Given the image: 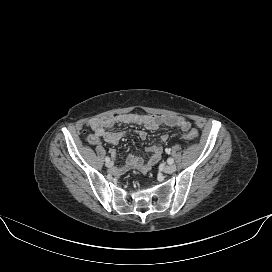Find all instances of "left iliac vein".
<instances>
[{
	"label": "left iliac vein",
	"mask_w": 272,
	"mask_h": 272,
	"mask_svg": "<svg viewBox=\"0 0 272 272\" xmlns=\"http://www.w3.org/2000/svg\"><path fill=\"white\" fill-rule=\"evenodd\" d=\"M176 171V166L174 164H167L164 167V172L167 174H171Z\"/></svg>",
	"instance_id": "left-iliac-vein-1"
}]
</instances>
